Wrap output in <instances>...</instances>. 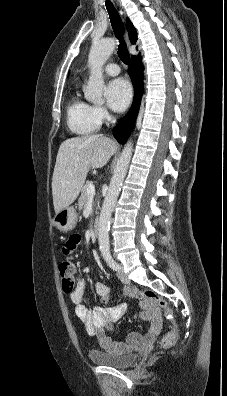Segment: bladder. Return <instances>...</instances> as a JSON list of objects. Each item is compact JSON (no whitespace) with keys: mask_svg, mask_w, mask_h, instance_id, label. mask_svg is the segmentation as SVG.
<instances>
[{"mask_svg":"<svg viewBox=\"0 0 227 396\" xmlns=\"http://www.w3.org/2000/svg\"><path fill=\"white\" fill-rule=\"evenodd\" d=\"M89 359L96 365L126 369L136 362L137 355L135 353H116L104 350H91L89 352Z\"/></svg>","mask_w":227,"mask_h":396,"instance_id":"bladder-1","label":"bladder"}]
</instances>
